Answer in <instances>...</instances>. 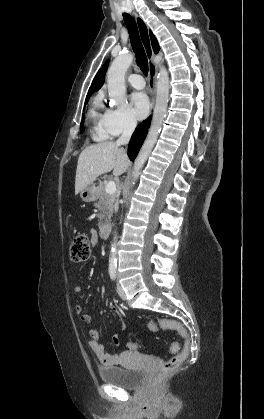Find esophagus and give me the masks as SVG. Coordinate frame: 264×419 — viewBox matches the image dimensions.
I'll use <instances>...</instances> for the list:
<instances>
[{"instance_id":"1","label":"esophagus","mask_w":264,"mask_h":419,"mask_svg":"<svg viewBox=\"0 0 264 419\" xmlns=\"http://www.w3.org/2000/svg\"><path fill=\"white\" fill-rule=\"evenodd\" d=\"M135 20L139 31V36L144 47L146 57L148 60V69H149V87L152 94V104L154 105V97H155V88H156V81H157V67L153 61L154 59V52L151 44V40L149 37L148 27L144 20L136 13Z\"/></svg>"}]
</instances>
